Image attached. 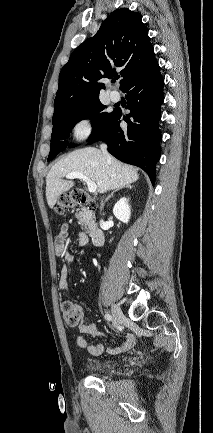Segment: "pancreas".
<instances>
[{
	"mask_svg": "<svg viewBox=\"0 0 213 433\" xmlns=\"http://www.w3.org/2000/svg\"><path fill=\"white\" fill-rule=\"evenodd\" d=\"M76 217L84 229H88L90 222L93 220L91 211L86 208H82V210L76 214Z\"/></svg>",
	"mask_w": 213,
	"mask_h": 433,
	"instance_id": "pancreas-1",
	"label": "pancreas"
}]
</instances>
